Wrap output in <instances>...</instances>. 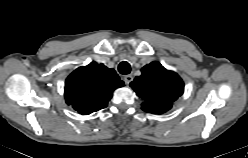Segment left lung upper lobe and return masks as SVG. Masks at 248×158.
I'll return each mask as SVG.
<instances>
[{
  "label": "left lung upper lobe",
  "instance_id": "left-lung-upper-lobe-1",
  "mask_svg": "<svg viewBox=\"0 0 248 158\" xmlns=\"http://www.w3.org/2000/svg\"><path fill=\"white\" fill-rule=\"evenodd\" d=\"M141 71V76H137L130 86L143 99L142 109L155 114L168 111L172 103L183 94L182 79L158 62L144 66Z\"/></svg>",
  "mask_w": 248,
  "mask_h": 158
}]
</instances>
